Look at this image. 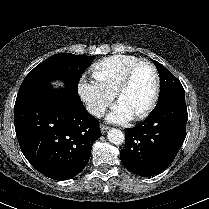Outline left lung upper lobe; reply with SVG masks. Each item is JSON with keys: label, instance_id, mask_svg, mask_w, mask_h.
I'll return each instance as SVG.
<instances>
[{"label": "left lung upper lobe", "instance_id": "5c2ea615", "mask_svg": "<svg viewBox=\"0 0 209 209\" xmlns=\"http://www.w3.org/2000/svg\"><path fill=\"white\" fill-rule=\"evenodd\" d=\"M160 75V94L158 101L172 95L185 94L180 81L170 73L162 64L153 60Z\"/></svg>", "mask_w": 209, "mask_h": 209}]
</instances>
